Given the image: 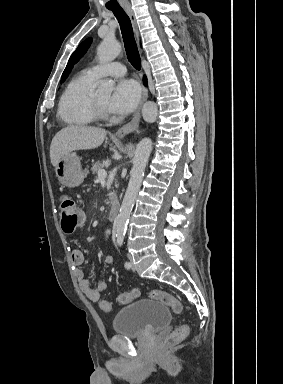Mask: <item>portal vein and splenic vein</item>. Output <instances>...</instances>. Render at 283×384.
Returning <instances> with one entry per match:
<instances>
[{
	"instance_id": "obj_1",
	"label": "portal vein and splenic vein",
	"mask_w": 283,
	"mask_h": 384,
	"mask_svg": "<svg viewBox=\"0 0 283 384\" xmlns=\"http://www.w3.org/2000/svg\"><path fill=\"white\" fill-rule=\"evenodd\" d=\"M106 176H107V172H105V170H99L98 178H101V180H104V178H106Z\"/></svg>"
}]
</instances>
